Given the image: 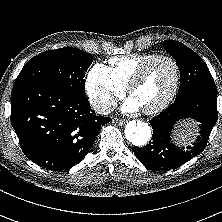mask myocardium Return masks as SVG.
Instances as JSON below:
<instances>
[{
  "label": "myocardium",
  "instance_id": "myocardium-1",
  "mask_svg": "<svg viewBox=\"0 0 222 222\" xmlns=\"http://www.w3.org/2000/svg\"><path fill=\"white\" fill-rule=\"evenodd\" d=\"M159 60H166L172 64V66L174 68V82H173V86H172L170 92L168 93V95L159 104H157L156 106H153L151 108L143 109L144 113H146V114H155V113H158V112L164 110L165 108H167L168 105L172 102V100L176 96L177 91L179 89V85H180L181 72H180V66H179L178 62L176 61V59L170 55L159 54V55L153 56L151 59L144 62L136 70V72L133 74V76L131 77V79L127 85L128 93L132 94L133 89L143 80L148 68L153 63H155L156 61H159Z\"/></svg>",
  "mask_w": 222,
  "mask_h": 222
}]
</instances>
